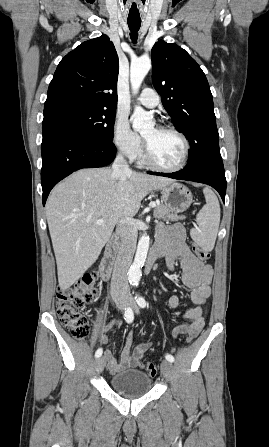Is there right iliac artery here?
<instances>
[{"instance_id": "obj_1", "label": "right iliac artery", "mask_w": 269, "mask_h": 447, "mask_svg": "<svg viewBox=\"0 0 269 447\" xmlns=\"http://www.w3.org/2000/svg\"><path fill=\"white\" fill-rule=\"evenodd\" d=\"M124 319L126 320L127 323H131L134 319V314L133 311L130 307L125 308L124 311ZM102 355V349L99 348L96 353H95V357L99 358Z\"/></svg>"}]
</instances>
